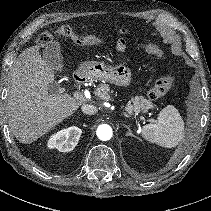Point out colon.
<instances>
[{"label":"colon","mask_w":211,"mask_h":211,"mask_svg":"<svg viewBox=\"0 0 211 211\" xmlns=\"http://www.w3.org/2000/svg\"><path fill=\"white\" fill-rule=\"evenodd\" d=\"M55 33L58 35L68 37L77 43L83 42V39L80 36H78L75 33V31L69 26H61L58 29H56ZM52 40H53V33L44 32L38 37L37 44L40 47H45L46 45L51 43ZM144 49H147L158 56L162 54V52L155 46L147 45L144 47ZM174 81L175 79L172 75L164 76L158 79L154 84V86L151 88V90L148 92V98L150 100H158L162 98L172 88Z\"/></svg>","instance_id":"colon-1"}]
</instances>
